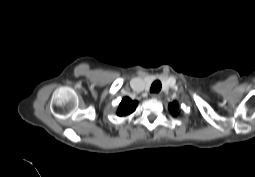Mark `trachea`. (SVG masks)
<instances>
[{
	"mask_svg": "<svg viewBox=\"0 0 255 177\" xmlns=\"http://www.w3.org/2000/svg\"><path fill=\"white\" fill-rule=\"evenodd\" d=\"M161 82L156 80L152 83L151 88H150V92L152 93H158L161 90Z\"/></svg>",
	"mask_w": 255,
	"mask_h": 177,
	"instance_id": "obj_1",
	"label": "trachea"
}]
</instances>
